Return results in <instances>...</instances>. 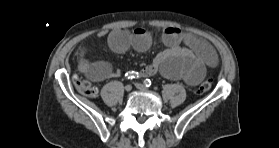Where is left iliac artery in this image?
Masks as SVG:
<instances>
[{"label": "left iliac artery", "instance_id": "left-iliac-artery-1", "mask_svg": "<svg viewBox=\"0 0 279 148\" xmlns=\"http://www.w3.org/2000/svg\"><path fill=\"white\" fill-rule=\"evenodd\" d=\"M144 84H145L146 87H150L151 86V80L150 79H146L144 81Z\"/></svg>", "mask_w": 279, "mask_h": 148}]
</instances>
